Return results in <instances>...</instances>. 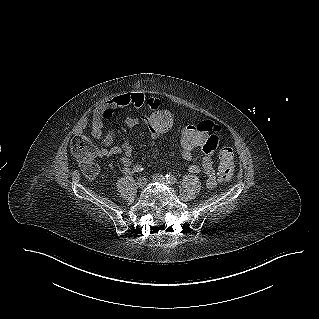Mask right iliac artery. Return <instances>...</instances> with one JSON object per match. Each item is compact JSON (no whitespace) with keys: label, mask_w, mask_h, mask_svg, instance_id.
<instances>
[{"label":"right iliac artery","mask_w":319,"mask_h":319,"mask_svg":"<svg viewBox=\"0 0 319 319\" xmlns=\"http://www.w3.org/2000/svg\"><path fill=\"white\" fill-rule=\"evenodd\" d=\"M133 170L134 172H141L144 170V168L140 165H136Z\"/></svg>","instance_id":"82829eb1"}]
</instances>
